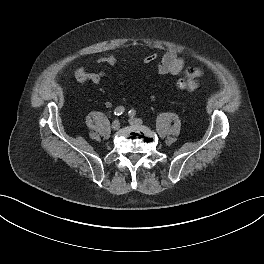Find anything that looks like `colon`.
Instances as JSON below:
<instances>
[{
    "label": "colon",
    "instance_id": "1",
    "mask_svg": "<svg viewBox=\"0 0 264 264\" xmlns=\"http://www.w3.org/2000/svg\"><path fill=\"white\" fill-rule=\"evenodd\" d=\"M157 57L158 55L156 52H150L143 58V62L146 64L152 63L157 59ZM101 60L103 63L109 66H112L117 61L116 53L112 52V53L106 54L102 57ZM176 87L179 90L192 91L196 88V84L189 78H181L176 81Z\"/></svg>",
    "mask_w": 264,
    "mask_h": 264
}]
</instances>
